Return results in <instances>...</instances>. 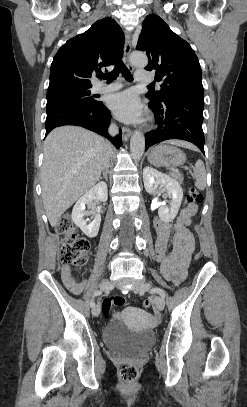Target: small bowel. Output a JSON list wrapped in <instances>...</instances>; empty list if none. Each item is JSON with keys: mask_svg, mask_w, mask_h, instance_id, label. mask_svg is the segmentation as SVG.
<instances>
[{"mask_svg": "<svg viewBox=\"0 0 247 407\" xmlns=\"http://www.w3.org/2000/svg\"><path fill=\"white\" fill-rule=\"evenodd\" d=\"M196 208L192 204L186 205L178 216L176 224L155 219L154 226L157 233L156 252L157 259L161 264V272L165 279L173 276L184 279L195 249V238L189 226ZM172 237L173 250L168 253L169 241ZM62 279L66 287L73 293L79 294L83 291L87 281L77 282L71 267L64 265L61 269Z\"/></svg>", "mask_w": 247, "mask_h": 407, "instance_id": "obj_1", "label": "small bowel"}]
</instances>
